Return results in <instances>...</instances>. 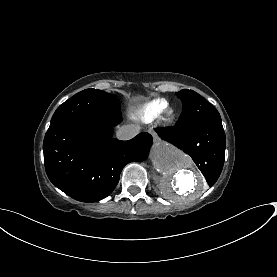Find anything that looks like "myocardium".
<instances>
[{
	"mask_svg": "<svg viewBox=\"0 0 277 277\" xmlns=\"http://www.w3.org/2000/svg\"><path fill=\"white\" fill-rule=\"evenodd\" d=\"M173 116L174 110L172 108H166L162 113V120L165 122H169L172 120Z\"/></svg>",
	"mask_w": 277,
	"mask_h": 277,
	"instance_id": "myocardium-1",
	"label": "myocardium"
}]
</instances>
